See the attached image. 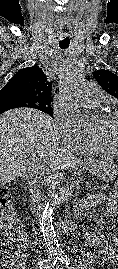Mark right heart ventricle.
Instances as JSON below:
<instances>
[{
  "instance_id": "right-heart-ventricle-1",
  "label": "right heart ventricle",
  "mask_w": 118,
  "mask_h": 269,
  "mask_svg": "<svg viewBox=\"0 0 118 269\" xmlns=\"http://www.w3.org/2000/svg\"><path fill=\"white\" fill-rule=\"evenodd\" d=\"M80 150L91 154H117L109 145L96 137H93L92 141Z\"/></svg>"
}]
</instances>
